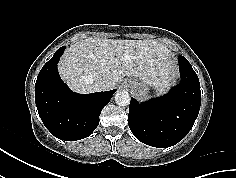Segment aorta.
<instances>
[{"instance_id": "1", "label": "aorta", "mask_w": 236, "mask_h": 178, "mask_svg": "<svg viewBox=\"0 0 236 178\" xmlns=\"http://www.w3.org/2000/svg\"><path fill=\"white\" fill-rule=\"evenodd\" d=\"M115 102L119 106H127L130 104V96L127 91H118L115 94Z\"/></svg>"}]
</instances>
